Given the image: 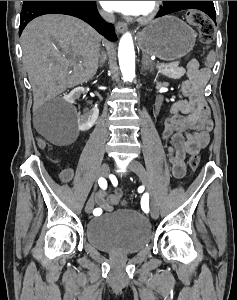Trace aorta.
<instances>
[{
    "label": "aorta",
    "instance_id": "aorta-1",
    "mask_svg": "<svg viewBox=\"0 0 237 300\" xmlns=\"http://www.w3.org/2000/svg\"><path fill=\"white\" fill-rule=\"evenodd\" d=\"M118 59L124 81L131 83L135 77V53L130 33H125L120 39Z\"/></svg>",
    "mask_w": 237,
    "mask_h": 300
}]
</instances>
